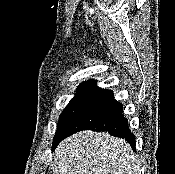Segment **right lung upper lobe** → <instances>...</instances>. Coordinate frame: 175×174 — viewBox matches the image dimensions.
Listing matches in <instances>:
<instances>
[{
    "instance_id": "right-lung-upper-lobe-1",
    "label": "right lung upper lobe",
    "mask_w": 175,
    "mask_h": 174,
    "mask_svg": "<svg viewBox=\"0 0 175 174\" xmlns=\"http://www.w3.org/2000/svg\"><path fill=\"white\" fill-rule=\"evenodd\" d=\"M97 88L98 86L96 85V81L94 79L84 81L77 87L76 94H91Z\"/></svg>"
}]
</instances>
